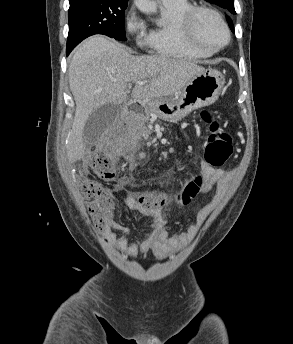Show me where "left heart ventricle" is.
I'll use <instances>...</instances> for the list:
<instances>
[{
  "label": "left heart ventricle",
  "mask_w": 293,
  "mask_h": 344,
  "mask_svg": "<svg viewBox=\"0 0 293 344\" xmlns=\"http://www.w3.org/2000/svg\"><path fill=\"white\" fill-rule=\"evenodd\" d=\"M195 35L207 48H216L226 40V33L218 20L210 14L202 13L195 23Z\"/></svg>",
  "instance_id": "b2bd125f"
}]
</instances>
